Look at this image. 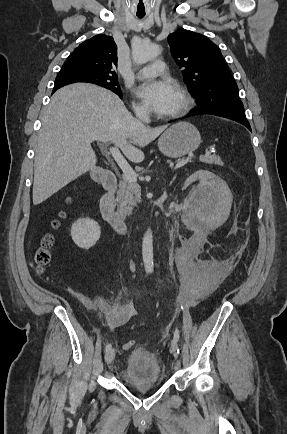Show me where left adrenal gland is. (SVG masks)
<instances>
[{
    "instance_id": "1",
    "label": "left adrenal gland",
    "mask_w": 287,
    "mask_h": 434,
    "mask_svg": "<svg viewBox=\"0 0 287 434\" xmlns=\"http://www.w3.org/2000/svg\"><path fill=\"white\" fill-rule=\"evenodd\" d=\"M175 179V177L173 178V180ZM173 180L170 182V183H172L173 182Z\"/></svg>"
}]
</instances>
